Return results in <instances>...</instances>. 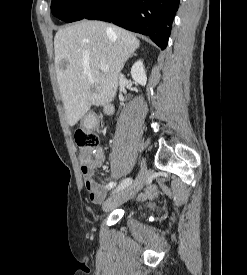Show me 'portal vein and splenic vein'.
I'll return each mask as SVG.
<instances>
[{
	"mask_svg": "<svg viewBox=\"0 0 247 275\" xmlns=\"http://www.w3.org/2000/svg\"><path fill=\"white\" fill-rule=\"evenodd\" d=\"M99 68H100V70H101L102 72H106V71L108 70V66L105 65V64H101V65L99 66Z\"/></svg>",
	"mask_w": 247,
	"mask_h": 275,
	"instance_id": "18ae733b",
	"label": "portal vein and splenic vein"
}]
</instances>
